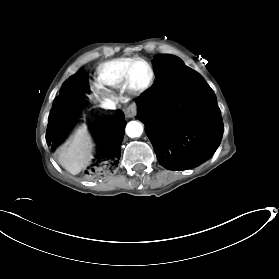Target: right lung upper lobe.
<instances>
[{"mask_svg":"<svg viewBox=\"0 0 279 279\" xmlns=\"http://www.w3.org/2000/svg\"><path fill=\"white\" fill-rule=\"evenodd\" d=\"M98 130H99V133L101 134L102 133L101 126H98Z\"/></svg>","mask_w":279,"mask_h":279,"instance_id":"obj_1","label":"right lung upper lobe"}]
</instances>
